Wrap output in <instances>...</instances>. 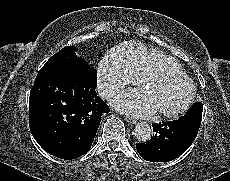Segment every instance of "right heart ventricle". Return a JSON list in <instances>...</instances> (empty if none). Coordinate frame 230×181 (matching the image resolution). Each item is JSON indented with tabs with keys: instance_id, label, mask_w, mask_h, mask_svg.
<instances>
[{
	"instance_id": "obj_1",
	"label": "right heart ventricle",
	"mask_w": 230,
	"mask_h": 181,
	"mask_svg": "<svg viewBox=\"0 0 230 181\" xmlns=\"http://www.w3.org/2000/svg\"><path fill=\"white\" fill-rule=\"evenodd\" d=\"M107 59L113 65L130 71L136 79L159 70L185 73L182 66L170 56L135 41L119 44L108 52Z\"/></svg>"
}]
</instances>
